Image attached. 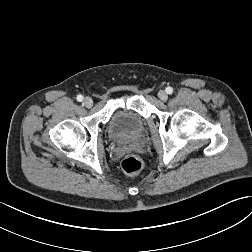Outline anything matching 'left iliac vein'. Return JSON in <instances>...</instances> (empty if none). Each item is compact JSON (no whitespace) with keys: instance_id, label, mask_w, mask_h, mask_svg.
Instances as JSON below:
<instances>
[{"instance_id":"4c4485c4","label":"left iliac vein","mask_w":252,"mask_h":252,"mask_svg":"<svg viewBox=\"0 0 252 252\" xmlns=\"http://www.w3.org/2000/svg\"><path fill=\"white\" fill-rule=\"evenodd\" d=\"M158 97L162 101H166L168 99V95H167L166 91H164V90H160L158 92Z\"/></svg>"}]
</instances>
